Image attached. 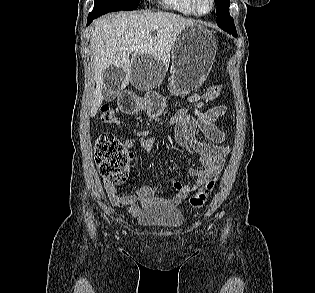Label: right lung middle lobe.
Listing matches in <instances>:
<instances>
[{
	"instance_id": "dd1d6c3e",
	"label": "right lung middle lobe",
	"mask_w": 315,
	"mask_h": 293,
	"mask_svg": "<svg viewBox=\"0 0 315 293\" xmlns=\"http://www.w3.org/2000/svg\"><path fill=\"white\" fill-rule=\"evenodd\" d=\"M140 0H95V4H111L122 10H134L138 7Z\"/></svg>"
}]
</instances>
